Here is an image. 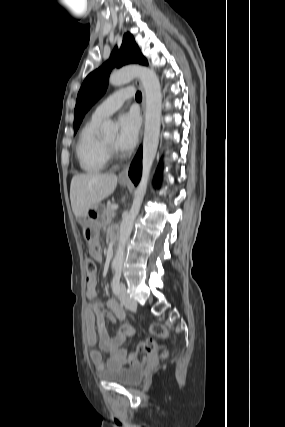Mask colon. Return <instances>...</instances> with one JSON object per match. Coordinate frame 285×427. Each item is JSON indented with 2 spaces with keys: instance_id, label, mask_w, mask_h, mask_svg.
<instances>
[{
  "instance_id": "colon-1",
  "label": "colon",
  "mask_w": 285,
  "mask_h": 427,
  "mask_svg": "<svg viewBox=\"0 0 285 427\" xmlns=\"http://www.w3.org/2000/svg\"><path fill=\"white\" fill-rule=\"evenodd\" d=\"M85 271H86V280L89 282L94 279L97 271L96 264L93 259H85ZM150 333L152 334L151 338H148L137 345V348L128 356V364L135 365L141 361L148 359L156 351V340L155 338L165 337L167 332L166 329L157 323H154L149 328ZM163 356H166V353H163Z\"/></svg>"
}]
</instances>
